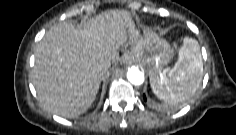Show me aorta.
Instances as JSON below:
<instances>
[{"label": "aorta", "instance_id": "762f6f07", "mask_svg": "<svg viewBox=\"0 0 236 135\" xmlns=\"http://www.w3.org/2000/svg\"><path fill=\"white\" fill-rule=\"evenodd\" d=\"M127 79L134 85H141L144 82V73L138 67H131L127 71Z\"/></svg>", "mask_w": 236, "mask_h": 135}]
</instances>
